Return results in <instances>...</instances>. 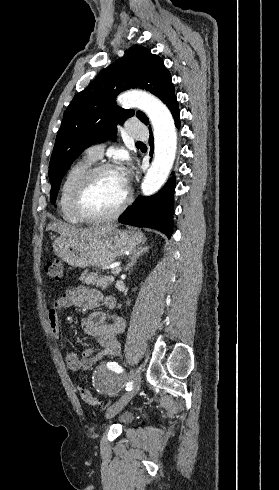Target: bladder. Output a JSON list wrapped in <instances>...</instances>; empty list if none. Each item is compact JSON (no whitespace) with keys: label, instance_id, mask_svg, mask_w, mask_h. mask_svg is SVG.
I'll return each instance as SVG.
<instances>
[{"label":"bladder","instance_id":"obj_1","mask_svg":"<svg viewBox=\"0 0 279 490\" xmlns=\"http://www.w3.org/2000/svg\"><path fill=\"white\" fill-rule=\"evenodd\" d=\"M132 420V415L130 413H122V414H119V419L118 421L122 424V425H128Z\"/></svg>","mask_w":279,"mask_h":490}]
</instances>
